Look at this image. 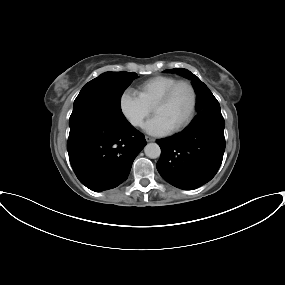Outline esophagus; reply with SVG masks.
<instances>
[{
  "instance_id": "1",
  "label": "esophagus",
  "mask_w": 285,
  "mask_h": 285,
  "mask_svg": "<svg viewBox=\"0 0 285 285\" xmlns=\"http://www.w3.org/2000/svg\"><path fill=\"white\" fill-rule=\"evenodd\" d=\"M145 139H146L147 142H154L155 141L154 138L149 137V136H145Z\"/></svg>"
}]
</instances>
